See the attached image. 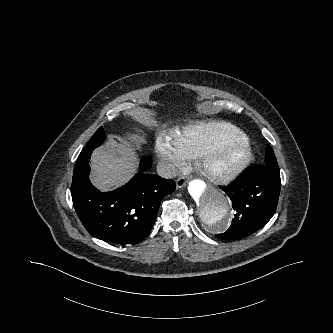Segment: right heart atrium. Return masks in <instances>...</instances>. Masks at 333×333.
Segmentation results:
<instances>
[{
    "label": "right heart atrium",
    "instance_id": "1",
    "mask_svg": "<svg viewBox=\"0 0 333 333\" xmlns=\"http://www.w3.org/2000/svg\"><path fill=\"white\" fill-rule=\"evenodd\" d=\"M155 152L169 174L180 171L186 165V157L181 153L174 141L165 135H159L156 138Z\"/></svg>",
    "mask_w": 333,
    "mask_h": 333
}]
</instances>
